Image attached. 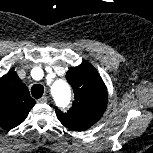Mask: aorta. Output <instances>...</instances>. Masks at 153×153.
Returning a JSON list of instances; mask_svg holds the SVG:
<instances>
[{
    "instance_id": "1",
    "label": "aorta",
    "mask_w": 153,
    "mask_h": 153,
    "mask_svg": "<svg viewBox=\"0 0 153 153\" xmlns=\"http://www.w3.org/2000/svg\"><path fill=\"white\" fill-rule=\"evenodd\" d=\"M51 90L58 103L65 105L69 102L71 95L70 87L64 80L56 79L53 82Z\"/></svg>"
}]
</instances>
